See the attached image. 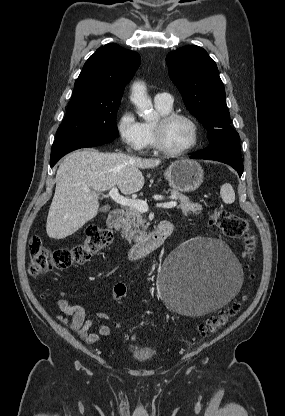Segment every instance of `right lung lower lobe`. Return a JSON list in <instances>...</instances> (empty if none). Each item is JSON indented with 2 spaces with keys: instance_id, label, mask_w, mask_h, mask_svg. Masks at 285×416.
<instances>
[{
  "instance_id": "right-lung-lower-lobe-1",
  "label": "right lung lower lobe",
  "mask_w": 285,
  "mask_h": 416,
  "mask_svg": "<svg viewBox=\"0 0 285 416\" xmlns=\"http://www.w3.org/2000/svg\"><path fill=\"white\" fill-rule=\"evenodd\" d=\"M115 138L106 137H70L56 139L51 148L50 166L53 167L67 153L85 147H94L109 143Z\"/></svg>"
}]
</instances>
